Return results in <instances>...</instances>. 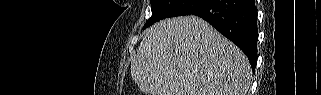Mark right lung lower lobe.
I'll return each instance as SVG.
<instances>
[{
	"label": "right lung lower lobe",
	"instance_id": "right-lung-lower-lobe-1",
	"mask_svg": "<svg viewBox=\"0 0 321 95\" xmlns=\"http://www.w3.org/2000/svg\"><path fill=\"white\" fill-rule=\"evenodd\" d=\"M248 57L253 72L257 63V11L254 0H209L195 10Z\"/></svg>",
	"mask_w": 321,
	"mask_h": 95
}]
</instances>
